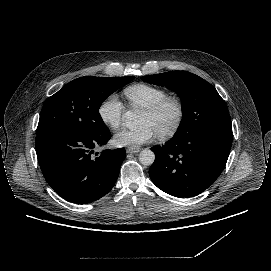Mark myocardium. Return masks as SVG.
I'll list each match as a JSON object with an SVG mask.
<instances>
[{"label": "myocardium", "mask_w": 271, "mask_h": 271, "mask_svg": "<svg viewBox=\"0 0 271 271\" xmlns=\"http://www.w3.org/2000/svg\"><path fill=\"white\" fill-rule=\"evenodd\" d=\"M169 105H173L176 108L177 114L173 124L168 129L157 134V136L161 139L173 136L181 126L185 115V109L182 101L178 97L168 95L151 106L143 109V112L146 114L156 115Z\"/></svg>", "instance_id": "myocardium-1"}]
</instances>
